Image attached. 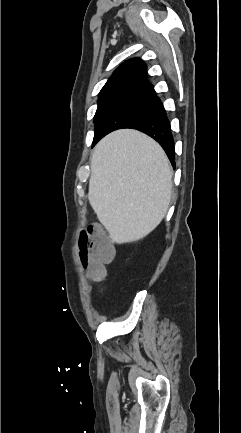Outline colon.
Returning a JSON list of instances; mask_svg holds the SVG:
<instances>
[{"label": "colon", "mask_w": 241, "mask_h": 433, "mask_svg": "<svg viewBox=\"0 0 241 433\" xmlns=\"http://www.w3.org/2000/svg\"><path fill=\"white\" fill-rule=\"evenodd\" d=\"M78 254L93 276L101 279L105 274L104 264L113 257V245L102 231L94 235V231L89 229L80 235ZM78 269L83 271L85 266L80 264Z\"/></svg>", "instance_id": "colon-1"}]
</instances>
